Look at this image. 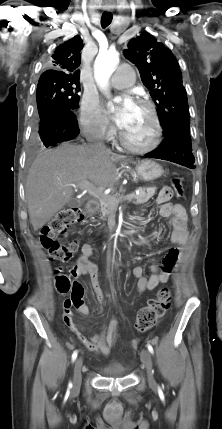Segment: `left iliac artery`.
Returning a JSON list of instances; mask_svg holds the SVG:
<instances>
[{
	"mask_svg": "<svg viewBox=\"0 0 222 429\" xmlns=\"http://www.w3.org/2000/svg\"><path fill=\"white\" fill-rule=\"evenodd\" d=\"M147 348L150 351V353H153V347L150 344H147Z\"/></svg>",
	"mask_w": 222,
	"mask_h": 429,
	"instance_id": "obj_1",
	"label": "left iliac artery"
}]
</instances>
